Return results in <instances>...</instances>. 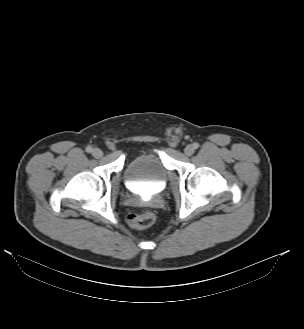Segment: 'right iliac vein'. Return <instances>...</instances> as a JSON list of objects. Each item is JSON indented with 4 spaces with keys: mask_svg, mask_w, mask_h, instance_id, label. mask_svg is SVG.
Segmentation results:
<instances>
[{
    "mask_svg": "<svg viewBox=\"0 0 304 329\" xmlns=\"http://www.w3.org/2000/svg\"><path fill=\"white\" fill-rule=\"evenodd\" d=\"M92 155H93L95 158H101L102 155H103V152H102V150H100L99 148H95V149H93V151H92Z\"/></svg>",
    "mask_w": 304,
    "mask_h": 329,
    "instance_id": "1",
    "label": "right iliac vein"
}]
</instances>
